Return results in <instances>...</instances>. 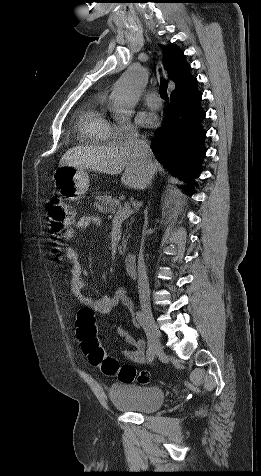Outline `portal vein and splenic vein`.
<instances>
[{"instance_id":"portal-vein-and-splenic-vein-1","label":"portal vein and splenic vein","mask_w":261,"mask_h":476,"mask_svg":"<svg viewBox=\"0 0 261 476\" xmlns=\"http://www.w3.org/2000/svg\"><path fill=\"white\" fill-rule=\"evenodd\" d=\"M132 213H133V211H132L130 205L125 204L122 209L117 211V213L114 216L113 221H122V220L128 218Z\"/></svg>"}]
</instances>
